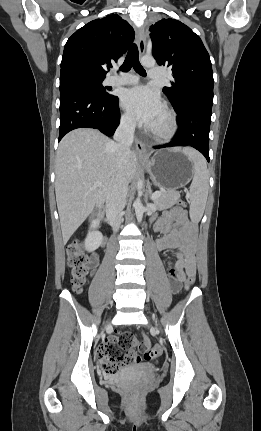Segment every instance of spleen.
<instances>
[{"mask_svg":"<svg viewBox=\"0 0 261 431\" xmlns=\"http://www.w3.org/2000/svg\"><path fill=\"white\" fill-rule=\"evenodd\" d=\"M178 150H181L194 165V175L190 186V212L200 218L204 213L209 189L207 164L203 156L192 148Z\"/></svg>","mask_w":261,"mask_h":431,"instance_id":"3e777b00","label":"spleen"}]
</instances>
